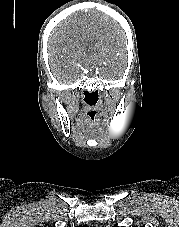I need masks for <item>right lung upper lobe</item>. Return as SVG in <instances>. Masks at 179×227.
Masks as SVG:
<instances>
[{"label": "right lung upper lobe", "mask_w": 179, "mask_h": 227, "mask_svg": "<svg viewBox=\"0 0 179 227\" xmlns=\"http://www.w3.org/2000/svg\"><path fill=\"white\" fill-rule=\"evenodd\" d=\"M78 227H88V226L84 225V226H78Z\"/></svg>", "instance_id": "obj_1"}]
</instances>
